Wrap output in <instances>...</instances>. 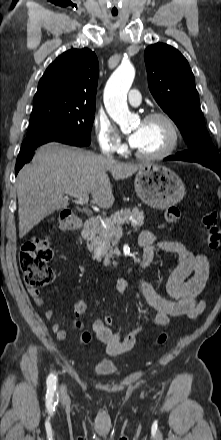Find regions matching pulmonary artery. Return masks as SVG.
<instances>
[{"label": "pulmonary artery", "mask_w": 221, "mask_h": 440, "mask_svg": "<svg viewBox=\"0 0 221 440\" xmlns=\"http://www.w3.org/2000/svg\"><path fill=\"white\" fill-rule=\"evenodd\" d=\"M128 101L131 105L137 106L141 103V94L137 89L130 90Z\"/></svg>", "instance_id": "e3ab8cb5"}]
</instances>
